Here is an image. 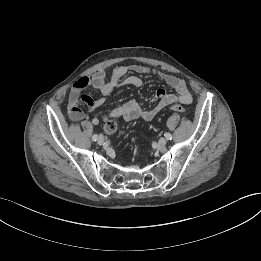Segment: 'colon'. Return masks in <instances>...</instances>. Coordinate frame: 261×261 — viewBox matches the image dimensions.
I'll return each instance as SVG.
<instances>
[{
	"label": "colon",
	"mask_w": 261,
	"mask_h": 261,
	"mask_svg": "<svg viewBox=\"0 0 261 261\" xmlns=\"http://www.w3.org/2000/svg\"><path fill=\"white\" fill-rule=\"evenodd\" d=\"M170 110L172 112H175V113H184L185 112V108L178 104V103H175L173 104L171 107H170ZM118 128V122L116 120H109L106 124H105V132L107 134H113L116 132Z\"/></svg>",
	"instance_id": "5ec220e1"
}]
</instances>
